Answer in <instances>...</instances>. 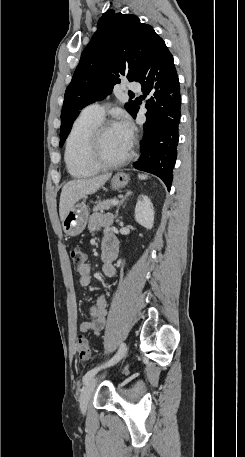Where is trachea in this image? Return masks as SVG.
Returning <instances> with one entry per match:
<instances>
[{
    "mask_svg": "<svg viewBox=\"0 0 245 457\" xmlns=\"http://www.w3.org/2000/svg\"><path fill=\"white\" fill-rule=\"evenodd\" d=\"M131 95H134L133 92L130 93Z\"/></svg>",
    "mask_w": 245,
    "mask_h": 457,
    "instance_id": "trachea-1",
    "label": "trachea"
}]
</instances>
